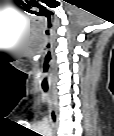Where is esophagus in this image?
Masks as SVG:
<instances>
[{"label": "esophagus", "instance_id": "esophagus-1", "mask_svg": "<svg viewBox=\"0 0 114 136\" xmlns=\"http://www.w3.org/2000/svg\"><path fill=\"white\" fill-rule=\"evenodd\" d=\"M49 119L52 132H55L58 128V112L56 107V97L53 90H51L49 100Z\"/></svg>", "mask_w": 114, "mask_h": 136}]
</instances>
